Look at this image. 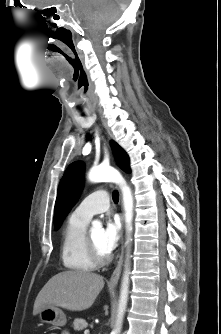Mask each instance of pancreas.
Returning <instances> with one entry per match:
<instances>
[{"label":"pancreas","instance_id":"1","mask_svg":"<svg viewBox=\"0 0 221 334\" xmlns=\"http://www.w3.org/2000/svg\"><path fill=\"white\" fill-rule=\"evenodd\" d=\"M88 326V323L84 319H75L73 322V328L75 331H82Z\"/></svg>","mask_w":221,"mask_h":334}]
</instances>
